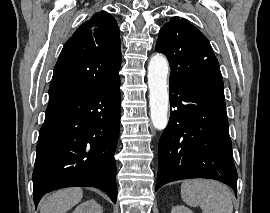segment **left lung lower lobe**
Returning a JSON list of instances; mask_svg holds the SVG:
<instances>
[{
    "label": "left lung lower lobe",
    "instance_id": "0a47b994",
    "mask_svg": "<svg viewBox=\"0 0 270 213\" xmlns=\"http://www.w3.org/2000/svg\"><path fill=\"white\" fill-rule=\"evenodd\" d=\"M171 111L159 141L155 191L189 178L219 180L237 191L224 97L210 91L170 83Z\"/></svg>",
    "mask_w": 270,
    "mask_h": 213
}]
</instances>
